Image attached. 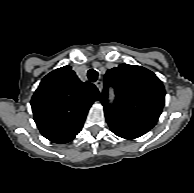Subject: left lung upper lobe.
Wrapping results in <instances>:
<instances>
[{"label": "left lung upper lobe", "instance_id": "1", "mask_svg": "<svg viewBox=\"0 0 194 193\" xmlns=\"http://www.w3.org/2000/svg\"><path fill=\"white\" fill-rule=\"evenodd\" d=\"M109 85L115 89L113 105L107 101ZM101 102L104 112L152 128L162 112L165 89L160 79L150 70L120 64L107 71Z\"/></svg>", "mask_w": 194, "mask_h": 193}]
</instances>
